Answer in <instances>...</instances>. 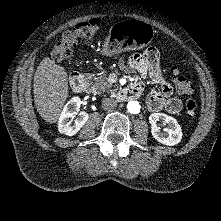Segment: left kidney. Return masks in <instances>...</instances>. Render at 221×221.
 Here are the masks:
<instances>
[{
  "instance_id": "left-kidney-1",
  "label": "left kidney",
  "mask_w": 221,
  "mask_h": 221,
  "mask_svg": "<svg viewBox=\"0 0 221 221\" xmlns=\"http://www.w3.org/2000/svg\"><path fill=\"white\" fill-rule=\"evenodd\" d=\"M157 121H162L163 123L168 124V128L165 129V133L161 132L160 127L156 125ZM149 122L151 124L152 136L158 142L167 146H174L181 141V127L175 118L164 113H153L149 116Z\"/></svg>"
}]
</instances>
